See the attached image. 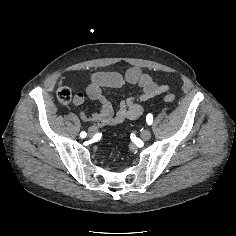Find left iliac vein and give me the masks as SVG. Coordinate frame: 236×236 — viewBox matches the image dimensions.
<instances>
[{"instance_id":"obj_1","label":"left iliac vein","mask_w":236,"mask_h":236,"mask_svg":"<svg viewBox=\"0 0 236 236\" xmlns=\"http://www.w3.org/2000/svg\"><path fill=\"white\" fill-rule=\"evenodd\" d=\"M140 136L143 140H149L151 138V132L149 130H143Z\"/></svg>"}]
</instances>
